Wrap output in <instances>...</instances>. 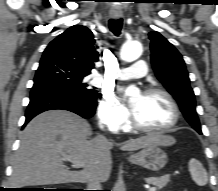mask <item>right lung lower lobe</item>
<instances>
[{"label":"right lung lower lobe","instance_id":"98d812e1","mask_svg":"<svg viewBox=\"0 0 218 191\" xmlns=\"http://www.w3.org/2000/svg\"><path fill=\"white\" fill-rule=\"evenodd\" d=\"M96 106L97 98L88 99L55 84H34L24 126L36 115L55 109L68 110L84 118H90L94 115Z\"/></svg>","mask_w":218,"mask_h":191}]
</instances>
